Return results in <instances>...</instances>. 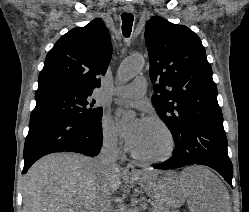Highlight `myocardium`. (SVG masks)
<instances>
[{
    "label": "myocardium",
    "instance_id": "1",
    "mask_svg": "<svg viewBox=\"0 0 249 212\" xmlns=\"http://www.w3.org/2000/svg\"><path fill=\"white\" fill-rule=\"evenodd\" d=\"M145 121L152 122L157 124L162 128V130L165 132L169 139V149L165 155L162 156H156V157H144L136 154L135 152H132V157L141 163H146V164H153V163H160V162H165L169 159H171L176 150H177V140L176 137L172 131V129L169 127V125L163 121L161 118L156 117V116H149L145 118Z\"/></svg>",
    "mask_w": 249,
    "mask_h": 212
}]
</instances>
